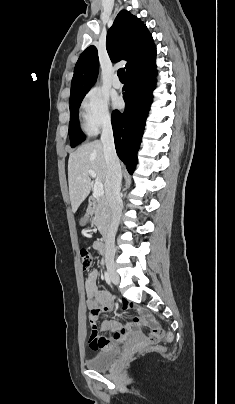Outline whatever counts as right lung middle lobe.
Wrapping results in <instances>:
<instances>
[{
    "label": "right lung middle lobe",
    "mask_w": 235,
    "mask_h": 404,
    "mask_svg": "<svg viewBox=\"0 0 235 404\" xmlns=\"http://www.w3.org/2000/svg\"><path fill=\"white\" fill-rule=\"evenodd\" d=\"M83 98L70 102V122H69V136L71 147H75L84 140V135L80 132L78 110Z\"/></svg>",
    "instance_id": "right-lung-middle-lobe-1"
}]
</instances>
